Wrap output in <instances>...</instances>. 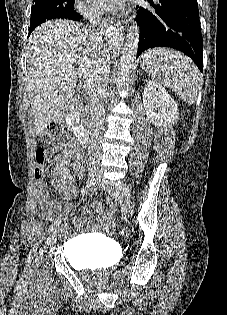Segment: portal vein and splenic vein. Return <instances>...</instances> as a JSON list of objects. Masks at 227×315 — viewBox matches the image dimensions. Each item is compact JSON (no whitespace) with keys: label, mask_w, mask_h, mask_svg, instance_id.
Wrapping results in <instances>:
<instances>
[{"label":"portal vein and splenic vein","mask_w":227,"mask_h":315,"mask_svg":"<svg viewBox=\"0 0 227 315\" xmlns=\"http://www.w3.org/2000/svg\"><path fill=\"white\" fill-rule=\"evenodd\" d=\"M78 74L85 79V82L87 85L90 86V83L92 81V77L90 75V72L87 71L83 66H79L78 68Z\"/></svg>","instance_id":"portal-vein-and-splenic-vein-1"}]
</instances>
